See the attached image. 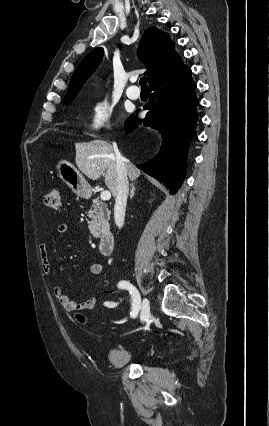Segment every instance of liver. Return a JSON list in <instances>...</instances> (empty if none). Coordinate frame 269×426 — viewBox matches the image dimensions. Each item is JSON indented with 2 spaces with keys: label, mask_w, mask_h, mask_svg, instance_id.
Wrapping results in <instances>:
<instances>
[{
  "label": "liver",
  "mask_w": 269,
  "mask_h": 426,
  "mask_svg": "<svg viewBox=\"0 0 269 426\" xmlns=\"http://www.w3.org/2000/svg\"><path fill=\"white\" fill-rule=\"evenodd\" d=\"M76 165L91 180H98L104 174L105 184L115 196L117 187L116 158L113 147L103 140L77 143ZM127 173L134 181L140 176V170L128 162Z\"/></svg>",
  "instance_id": "1"
}]
</instances>
